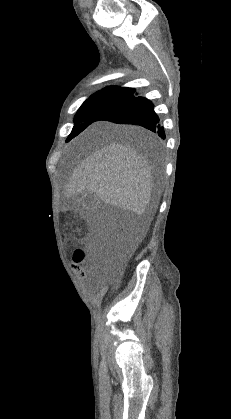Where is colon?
Returning a JSON list of instances; mask_svg holds the SVG:
<instances>
[{"mask_svg":"<svg viewBox=\"0 0 231 419\" xmlns=\"http://www.w3.org/2000/svg\"><path fill=\"white\" fill-rule=\"evenodd\" d=\"M83 256H84V251L82 249H77L74 253V258L77 262L81 261L83 259ZM110 271H111V273H115V272L119 271V263L116 262V261H113L112 264H111V270Z\"/></svg>","mask_w":231,"mask_h":419,"instance_id":"obj_1","label":"colon"}]
</instances>
